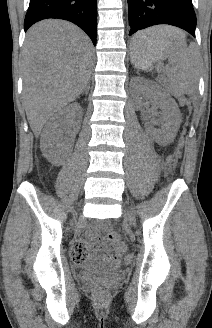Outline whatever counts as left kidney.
I'll return each instance as SVG.
<instances>
[{
  "label": "left kidney",
  "instance_id": "5707ae66",
  "mask_svg": "<svg viewBox=\"0 0 212 328\" xmlns=\"http://www.w3.org/2000/svg\"><path fill=\"white\" fill-rule=\"evenodd\" d=\"M132 81L138 89L137 107H140L145 99H149L155 108L160 109V119L163 122L161 128L156 129L147 123L145 124L146 130L158 143L172 141L180 125V111L176 102L168 93L152 81L140 77H135Z\"/></svg>",
  "mask_w": 212,
  "mask_h": 328
}]
</instances>
